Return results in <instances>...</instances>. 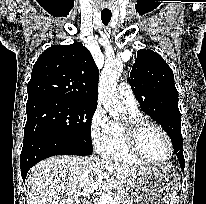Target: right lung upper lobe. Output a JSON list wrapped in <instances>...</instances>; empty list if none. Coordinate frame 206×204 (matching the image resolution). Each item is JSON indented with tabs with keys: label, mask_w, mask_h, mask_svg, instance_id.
I'll use <instances>...</instances> for the list:
<instances>
[{
	"label": "right lung upper lobe",
	"mask_w": 206,
	"mask_h": 204,
	"mask_svg": "<svg viewBox=\"0 0 206 204\" xmlns=\"http://www.w3.org/2000/svg\"><path fill=\"white\" fill-rule=\"evenodd\" d=\"M99 72L82 43L54 45L33 66L28 100L59 98L97 104Z\"/></svg>",
	"instance_id": "cb5924a9"
}]
</instances>
